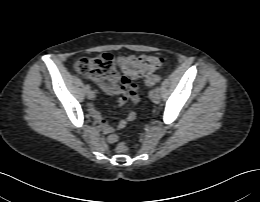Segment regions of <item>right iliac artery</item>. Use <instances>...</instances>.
Instances as JSON below:
<instances>
[{
  "label": "right iliac artery",
  "instance_id": "right-iliac-artery-1",
  "mask_svg": "<svg viewBox=\"0 0 260 202\" xmlns=\"http://www.w3.org/2000/svg\"><path fill=\"white\" fill-rule=\"evenodd\" d=\"M85 88L87 91H89L91 89L90 85H86Z\"/></svg>",
  "mask_w": 260,
  "mask_h": 202
}]
</instances>
